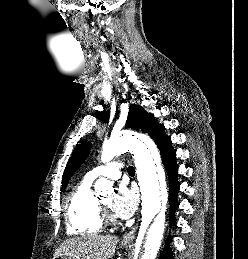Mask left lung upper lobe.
I'll list each match as a JSON object with an SVG mask.
<instances>
[{
    "label": "left lung upper lobe",
    "instance_id": "5c2ea615",
    "mask_svg": "<svg viewBox=\"0 0 248 259\" xmlns=\"http://www.w3.org/2000/svg\"><path fill=\"white\" fill-rule=\"evenodd\" d=\"M126 127L135 130L141 129L142 132L148 133L158 147L165 141L170 140V138L164 134V126L156 123L152 114L147 113L142 107L135 104H132L129 107ZM90 147L91 144L88 142L78 144L67 164L66 171L63 174V189L66 187L69 178L87 158Z\"/></svg>",
    "mask_w": 248,
    "mask_h": 259
}]
</instances>
